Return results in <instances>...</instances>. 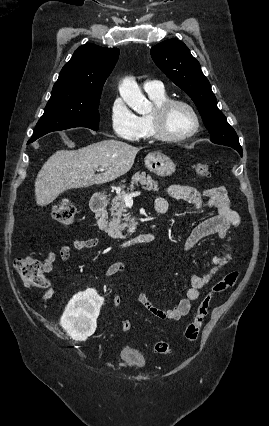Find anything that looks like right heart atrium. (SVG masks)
Instances as JSON below:
<instances>
[{"instance_id": "1", "label": "right heart atrium", "mask_w": 269, "mask_h": 426, "mask_svg": "<svg viewBox=\"0 0 269 426\" xmlns=\"http://www.w3.org/2000/svg\"><path fill=\"white\" fill-rule=\"evenodd\" d=\"M109 121L111 129L117 137L128 141H134L140 137L138 116L119 96H115L110 103Z\"/></svg>"}]
</instances>
